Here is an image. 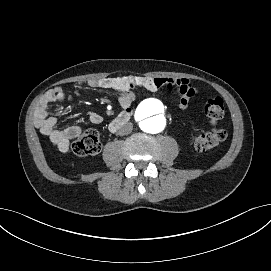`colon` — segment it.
I'll return each mask as SVG.
<instances>
[{"instance_id": "5ec220e1", "label": "colon", "mask_w": 271, "mask_h": 271, "mask_svg": "<svg viewBox=\"0 0 271 271\" xmlns=\"http://www.w3.org/2000/svg\"><path fill=\"white\" fill-rule=\"evenodd\" d=\"M205 114L208 122L215 126L225 114L223 100L220 97L211 98L205 106ZM227 137V132L222 128L214 127L211 131L195 135L191 142L198 151H204L218 146ZM72 151L78 156L95 155L101 149V143L97 131L86 129L81 132L72 143Z\"/></svg>"}]
</instances>
